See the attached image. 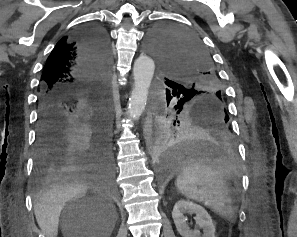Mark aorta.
I'll return each mask as SVG.
<instances>
[{"label":"aorta","instance_id":"762f6f07","mask_svg":"<svg viewBox=\"0 0 297 237\" xmlns=\"http://www.w3.org/2000/svg\"><path fill=\"white\" fill-rule=\"evenodd\" d=\"M148 49L153 50L151 40ZM154 70V61L146 54L139 56L134 63V87L128 105V117L133 121L138 120L145 109Z\"/></svg>","mask_w":297,"mask_h":237}]
</instances>
